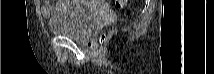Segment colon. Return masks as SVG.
Segmentation results:
<instances>
[{
  "instance_id": "obj_1",
  "label": "colon",
  "mask_w": 214,
  "mask_h": 74,
  "mask_svg": "<svg viewBox=\"0 0 214 74\" xmlns=\"http://www.w3.org/2000/svg\"><path fill=\"white\" fill-rule=\"evenodd\" d=\"M115 3L118 8H123L125 6V4L127 3V0H117V1H115ZM105 38H106V35L102 34L101 40L103 41Z\"/></svg>"
}]
</instances>
